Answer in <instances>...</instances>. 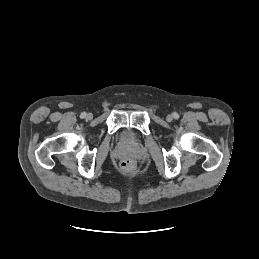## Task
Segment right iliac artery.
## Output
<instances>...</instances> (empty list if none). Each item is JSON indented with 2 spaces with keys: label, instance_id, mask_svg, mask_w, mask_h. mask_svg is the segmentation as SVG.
<instances>
[{
  "label": "right iliac artery",
  "instance_id": "82829eb1",
  "mask_svg": "<svg viewBox=\"0 0 259 259\" xmlns=\"http://www.w3.org/2000/svg\"><path fill=\"white\" fill-rule=\"evenodd\" d=\"M86 115H87L86 112H82L81 115H80V117H81V118H85Z\"/></svg>",
  "mask_w": 259,
  "mask_h": 259
}]
</instances>
